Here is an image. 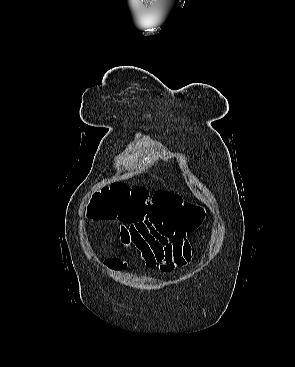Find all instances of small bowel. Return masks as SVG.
<instances>
[{
    "mask_svg": "<svg viewBox=\"0 0 295 367\" xmlns=\"http://www.w3.org/2000/svg\"><path fill=\"white\" fill-rule=\"evenodd\" d=\"M167 221L120 223L119 239L126 248H136L147 268L170 273L192 260V244L187 233ZM114 271H123L127 263L119 257L105 260Z\"/></svg>",
    "mask_w": 295,
    "mask_h": 367,
    "instance_id": "small-bowel-1",
    "label": "small bowel"
}]
</instances>
